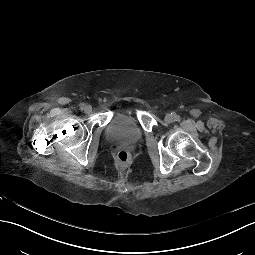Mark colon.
I'll use <instances>...</instances> for the list:
<instances>
[{
  "label": "colon",
  "instance_id": "colon-1",
  "mask_svg": "<svg viewBox=\"0 0 255 255\" xmlns=\"http://www.w3.org/2000/svg\"><path fill=\"white\" fill-rule=\"evenodd\" d=\"M116 159L120 164L125 165L128 163L130 156L126 151H119L117 153Z\"/></svg>",
  "mask_w": 255,
  "mask_h": 255
}]
</instances>
